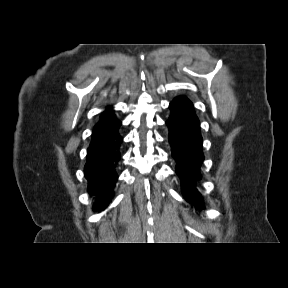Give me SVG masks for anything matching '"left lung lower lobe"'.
<instances>
[{"label": "left lung lower lobe", "mask_w": 288, "mask_h": 288, "mask_svg": "<svg viewBox=\"0 0 288 288\" xmlns=\"http://www.w3.org/2000/svg\"><path fill=\"white\" fill-rule=\"evenodd\" d=\"M170 116L166 121L169 127L171 155L176 161V173L182 182L184 198L196 209H204L196 183L201 178L199 169L204 160L200 123L191 101L178 96L169 105Z\"/></svg>", "instance_id": "obj_1"}]
</instances>
